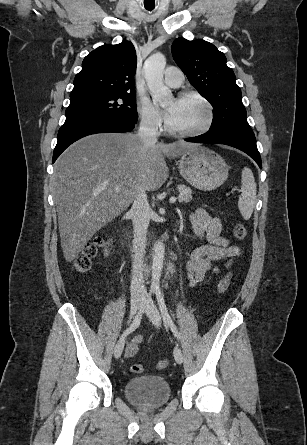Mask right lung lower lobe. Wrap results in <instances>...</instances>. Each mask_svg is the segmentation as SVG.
<instances>
[{"label": "right lung lower lobe", "instance_id": "obj_1", "mask_svg": "<svg viewBox=\"0 0 307 445\" xmlns=\"http://www.w3.org/2000/svg\"><path fill=\"white\" fill-rule=\"evenodd\" d=\"M137 121H131L112 115L83 114L66 117L58 133V142L54 149L52 162L73 142L87 135L103 132H129Z\"/></svg>", "mask_w": 307, "mask_h": 445}]
</instances>
